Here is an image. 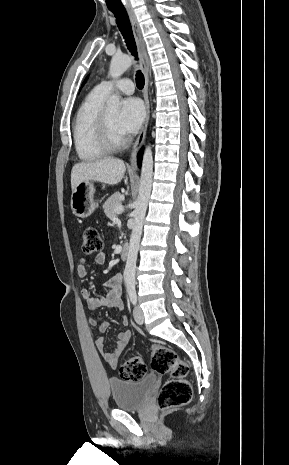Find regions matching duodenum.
Here are the masks:
<instances>
[{"mask_svg":"<svg viewBox=\"0 0 289 465\" xmlns=\"http://www.w3.org/2000/svg\"><path fill=\"white\" fill-rule=\"evenodd\" d=\"M129 255V246L128 245H123L121 249V258L122 260H126Z\"/></svg>","mask_w":289,"mask_h":465,"instance_id":"obj_1","label":"duodenum"}]
</instances>
